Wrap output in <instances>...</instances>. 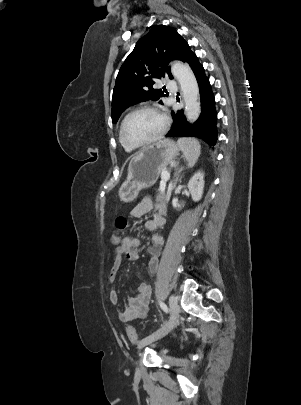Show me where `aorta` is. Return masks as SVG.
Segmentation results:
<instances>
[{"label":"aorta","instance_id":"obj_1","mask_svg":"<svg viewBox=\"0 0 301 405\" xmlns=\"http://www.w3.org/2000/svg\"><path fill=\"white\" fill-rule=\"evenodd\" d=\"M171 72L180 84L185 102V115L189 122H195L200 115L199 87L191 68L182 62H175Z\"/></svg>","mask_w":301,"mask_h":405}]
</instances>
